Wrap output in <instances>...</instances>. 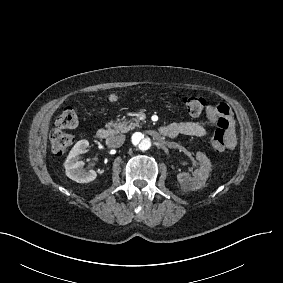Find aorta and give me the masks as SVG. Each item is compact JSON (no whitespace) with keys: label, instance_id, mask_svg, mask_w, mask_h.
Returning <instances> with one entry per match:
<instances>
[{"label":"aorta","instance_id":"762f6f07","mask_svg":"<svg viewBox=\"0 0 283 283\" xmlns=\"http://www.w3.org/2000/svg\"><path fill=\"white\" fill-rule=\"evenodd\" d=\"M152 144L151 138L145 132H135L131 136V146L136 151H148Z\"/></svg>","mask_w":283,"mask_h":283}]
</instances>
